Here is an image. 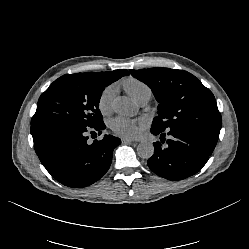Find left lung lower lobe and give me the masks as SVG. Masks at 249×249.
I'll use <instances>...</instances> for the list:
<instances>
[{
    "label": "left lung lower lobe",
    "mask_w": 249,
    "mask_h": 249,
    "mask_svg": "<svg viewBox=\"0 0 249 249\" xmlns=\"http://www.w3.org/2000/svg\"><path fill=\"white\" fill-rule=\"evenodd\" d=\"M220 129L187 125L162 131L156 126H151V133L160 135V142L153 143L155 151L147 162L149 168L158 176L173 181L194 175L212 154ZM166 133L169 137L165 143Z\"/></svg>",
    "instance_id": "1"
}]
</instances>
